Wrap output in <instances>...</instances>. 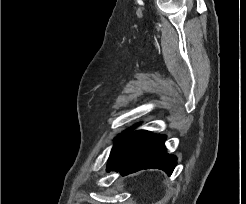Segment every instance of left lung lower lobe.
I'll return each mask as SVG.
<instances>
[{"label":"left lung lower lobe","mask_w":246,"mask_h":204,"mask_svg":"<svg viewBox=\"0 0 246 204\" xmlns=\"http://www.w3.org/2000/svg\"><path fill=\"white\" fill-rule=\"evenodd\" d=\"M165 139V135L145 130L122 136L111 150L107 171H120L128 175L142 169L157 168L171 175L176 166V157L166 153Z\"/></svg>","instance_id":"1"}]
</instances>
